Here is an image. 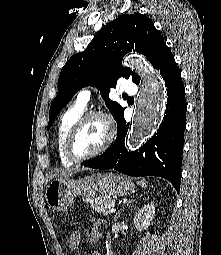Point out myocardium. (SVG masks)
Wrapping results in <instances>:
<instances>
[{
  "mask_svg": "<svg viewBox=\"0 0 221 255\" xmlns=\"http://www.w3.org/2000/svg\"><path fill=\"white\" fill-rule=\"evenodd\" d=\"M97 118L100 119L106 128V138L103 144L93 153H90L85 156H78L74 152V141L76 136L78 135L81 128L91 119ZM115 137V127L112 122L111 117L102 112V111H88L83 113L80 118L74 123V125L69 130L66 141H65V154L67 158L72 161L73 163H82L88 161L90 159L96 158L99 155L103 154L111 145L113 139Z\"/></svg>",
  "mask_w": 221,
  "mask_h": 255,
  "instance_id": "1",
  "label": "myocardium"
}]
</instances>
